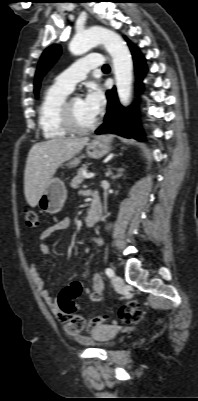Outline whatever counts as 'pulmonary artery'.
<instances>
[{
	"label": "pulmonary artery",
	"mask_w": 198,
	"mask_h": 401,
	"mask_svg": "<svg viewBox=\"0 0 198 401\" xmlns=\"http://www.w3.org/2000/svg\"><path fill=\"white\" fill-rule=\"evenodd\" d=\"M103 65L104 59L99 55L80 59L58 75L55 79V84L71 92L79 81L86 78L90 70Z\"/></svg>",
	"instance_id": "obj_1"
}]
</instances>
